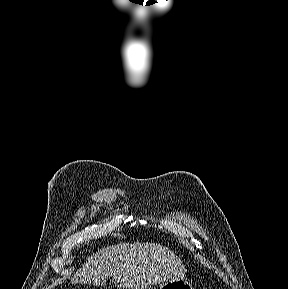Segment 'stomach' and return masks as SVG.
Instances as JSON below:
<instances>
[{"mask_svg": "<svg viewBox=\"0 0 288 289\" xmlns=\"http://www.w3.org/2000/svg\"><path fill=\"white\" fill-rule=\"evenodd\" d=\"M145 289H153V288L148 286ZM160 289H193V287L188 281L182 278L177 280L166 281L160 285Z\"/></svg>", "mask_w": 288, "mask_h": 289, "instance_id": "1", "label": "stomach"}]
</instances>
